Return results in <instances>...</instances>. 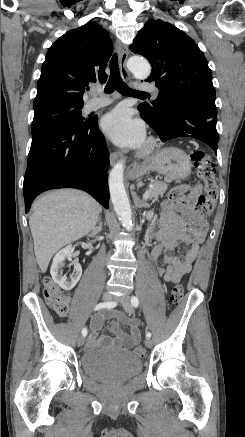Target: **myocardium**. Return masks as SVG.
<instances>
[{"label":"myocardium","mask_w":245,"mask_h":437,"mask_svg":"<svg viewBox=\"0 0 245 437\" xmlns=\"http://www.w3.org/2000/svg\"><path fill=\"white\" fill-rule=\"evenodd\" d=\"M157 148V140L154 137H149L141 147L139 154L141 156L150 155Z\"/></svg>","instance_id":"f54148a6"}]
</instances>
